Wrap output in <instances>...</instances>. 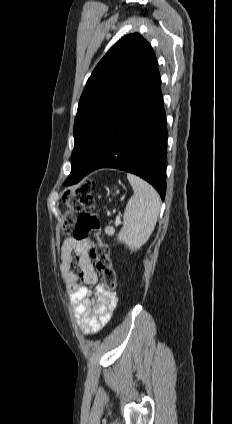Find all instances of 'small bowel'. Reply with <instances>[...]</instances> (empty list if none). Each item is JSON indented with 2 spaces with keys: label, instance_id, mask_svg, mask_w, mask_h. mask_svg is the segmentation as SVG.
Returning a JSON list of instances; mask_svg holds the SVG:
<instances>
[{
  "label": "small bowel",
  "instance_id": "obj_1",
  "mask_svg": "<svg viewBox=\"0 0 232 424\" xmlns=\"http://www.w3.org/2000/svg\"><path fill=\"white\" fill-rule=\"evenodd\" d=\"M88 244L66 238L60 249L59 271L65 284L72 312L84 334L100 331L111 319L116 307V296L98 285V274L88 255ZM75 264L79 272L72 269ZM96 285L95 293L89 286Z\"/></svg>",
  "mask_w": 232,
  "mask_h": 424
}]
</instances>
